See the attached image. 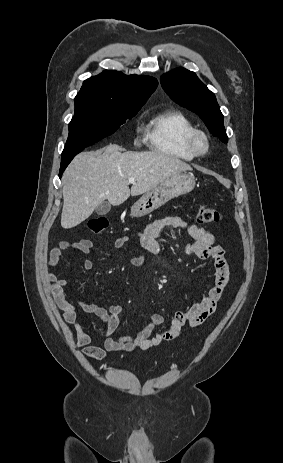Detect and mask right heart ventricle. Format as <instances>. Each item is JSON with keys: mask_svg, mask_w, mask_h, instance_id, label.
Returning <instances> with one entry per match:
<instances>
[{"mask_svg": "<svg viewBox=\"0 0 283 463\" xmlns=\"http://www.w3.org/2000/svg\"><path fill=\"white\" fill-rule=\"evenodd\" d=\"M195 130L191 120L177 109L155 114L145 127V138L156 153L181 160L195 158L188 139Z\"/></svg>", "mask_w": 283, "mask_h": 463, "instance_id": "right-heart-ventricle-1", "label": "right heart ventricle"}]
</instances>
